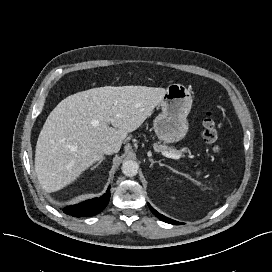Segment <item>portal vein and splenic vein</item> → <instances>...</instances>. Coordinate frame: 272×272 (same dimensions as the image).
I'll return each mask as SVG.
<instances>
[{
	"mask_svg": "<svg viewBox=\"0 0 272 272\" xmlns=\"http://www.w3.org/2000/svg\"><path fill=\"white\" fill-rule=\"evenodd\" d=\"M162 155H164L167 158H172V159H180L181 158V154H174L171 152H167V151H162Z\"/></svg>",
	"mask_w": 272,
	"mask_h": 272,
	"instance_id": "portal-vein-and-splenic-vein-1",
	"label": "portal vein and splenic vein"
}]
</instances>
